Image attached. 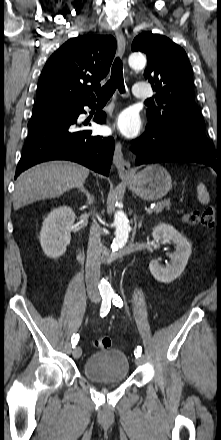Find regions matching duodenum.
Here are the masks:
<instances>
[{
  "mask_svg": "<svg viewBox=\"0 0 221 440\" xmlns=\"http://www.w3.org/2000/svg\"><path fill=\"white\" fill-rule=\"evenodd\" d=\"M77 259L80 260V261L83 259V253H82L81 250L77 251Z\"/></svg>",
  "mask_w": 221,
  "mask_h": 440,
  "instance_id": "410a0bca",
  "label": "duodenum"
}]
</instances>
